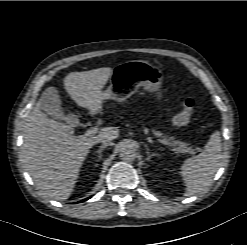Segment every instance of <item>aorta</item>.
<instances>
[{
	"instance_id": "obj_1",
	"label": "aorta",
	"mask_w": 247,
	"mask_h": 245,
	"mask_svg": "<svg viewBox=\"0 0 247 245\" xmlns=\"http://www.w3.org/2000/svg\"><path fill=\"white\" fill-rule=\"evenodd\" d=\"M119 156L125 162H132L136 158V150L130 143H125L120 149Z\"/></svg>"
}]
</instances>
